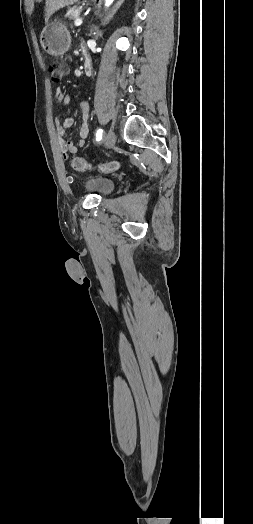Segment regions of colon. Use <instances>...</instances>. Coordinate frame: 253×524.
<instances>
[{
  "label": "colon",
  "instance_id": "5ec220e1",
  "mask_svg": "<svg viewBox=\"0 0 253 524\" xmlns=\"http://www.w3.org/2000/svg\"><path fill=\"white\" fill-rule=\"evenodd\" d=\"M49 71L51 73L52 80L54 82H59L66 75L67 68L64 64L58 61H52L49 64ZM72 166L75 170H78V171H85V170L93 168V165L91 163H89L88 161L82 158H78V157L72 160ZM96 168L102 172H112L119 168V163L115 161L103 163V164L97 165Z\"/></svg>",
  "mask_w": 253,
  "mask_h": 524
}]
</instances>
